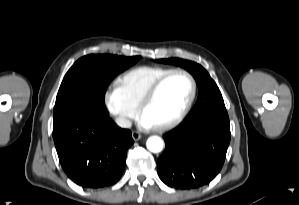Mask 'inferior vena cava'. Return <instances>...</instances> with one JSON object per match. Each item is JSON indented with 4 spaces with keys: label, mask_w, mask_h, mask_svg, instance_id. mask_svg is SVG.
Instances as JSON below:
<instances>
[{
    "label": "inferior vena cava",
    "mask_w": 299,
    "mask_h": 205,
    "mask_svg": "<svg viewBox=\"0 0 299 205\" xmlns=\"http://www.w3.org/2000/svg\"><path fill=\"white\" fill-rule=\"evenodd\" d=\"M116 124L121 128H130L132 126V122L125 117H117Z\"/></svg>",
    "instance_id": "inferior-vena-cava-1"
}]
</instances>
